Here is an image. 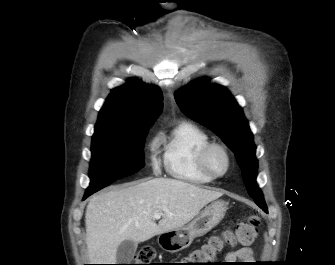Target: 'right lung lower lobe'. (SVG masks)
Wrapping results in <instances>:
<instances>
[{
    "label": "right lung lower lobe",
    "mask_w": 335,
    "mask_h": 265,
    "mask_svg": "<svg viewBox=\"0 0 335 265\" xmlns=\"http://www.w3.org/2000/svg\"><path fill=\"white\" fill-rule=\"evenodd\" d=\"M88 196L89 194H85L83 200L86 199Z\"/></svg>",
    "instance_id": "right-lung-lower-lobe-1"
}]
</instances>
